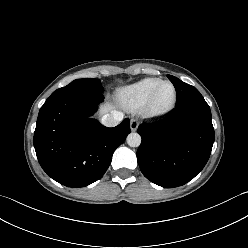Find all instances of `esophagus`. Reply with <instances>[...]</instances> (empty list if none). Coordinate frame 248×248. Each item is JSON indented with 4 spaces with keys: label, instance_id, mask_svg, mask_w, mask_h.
<instances>
[{
    "label": "esophagus",
    "instance_id": "34e87169",
    "mask_svg": "<svg viewBox=\"0 0 248 248\" xmlns=\"http://www.w3.org/2000/svg\"><path fill=\"white\" fill-rule=\"evenodd\" d=\"M139 126V122L136 119H131L130 121V128L132 131H136Z\"/></svg>",
    "mask_w": 248,
    "mask_h": 248
}]
</instances>
